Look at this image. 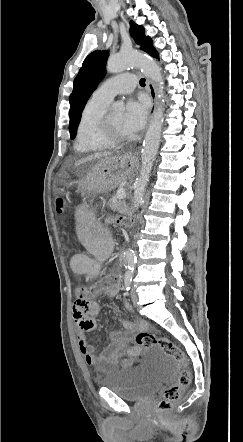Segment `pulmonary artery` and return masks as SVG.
I'll list each match as a JSON object with an SVG mask.
<instances>
[{"label": "pulmonary artery", "instance_id": "1", "mask_svg": "<svg viewBox=\"0 0 243 442\" xmlns=\"http://www.w3.org/2000/svg\"><path fill=\"white\" fill-rule=\"evenodd\" d=\"M136 84V77L133 73H122L103 82L100 87L94 91L93 97L97 100L110 103L116 95L131 92Z\"/></svg>", "mask_w": 243, "mask_h": 442}]
</instances>
